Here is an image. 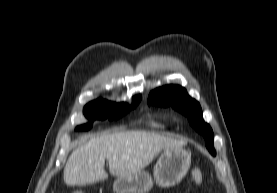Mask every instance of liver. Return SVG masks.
<instances>
[{"label": "liver", "mask_w": 277, "mask_h": 193, "mask_svg": "<svg viewBox=\"0 0 277 193\" xmlns=\"http://www.w3.org/2000/svg\"><path fill=\"white\" fill-rule=\"evenodd\" d=\"M185 140L146 131L105 132L75 149L64 168L67 185H87L113 176L126 177L147 167L164 149L182 147Z\"/></svg>", "instance_id": "6515ba94"}]
</instances>
